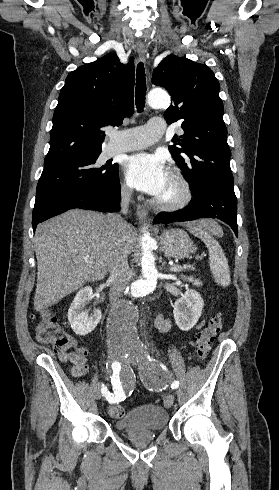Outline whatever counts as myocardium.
<instances>
[{"mask_svg":"<svg viewBox=\"0 0 279 490\" xmlns=\"http://www.w3.org/2000/svg\"><path fill=\"white\" fill-rule=\"evenodd\" d=\"M170 176L180 190L179 196L174 200L158 199L155 201L157 209L163 212H176L186 207L192 200V190L188 180L184 177L180 169L173 167L170 169Z\"/></svg>","mask_w":279,"mask_h":490,"instance_id":"obj_1","label":"myocardium"}]
</instances>
